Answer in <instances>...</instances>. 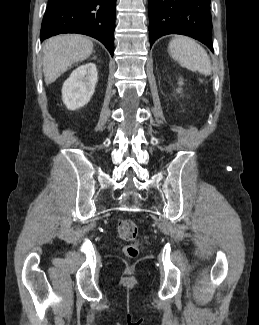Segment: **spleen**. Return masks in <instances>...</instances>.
<instances>
[{
	"mask_svg": "<svg viewBox=\"0 0 259 325\" xmlns=\"http://www.w3.org/2000/svg\"><path fill=\"white\" fill-rule=\"evenodd\" d=\"M168 49L170 56L182 67L204 75L211 74V61L207 52L193 39L183 36L173 38Z\"/></svg>",
	"mask_w": 259,
	"mask_h": 325,
	"instance_id": "1",
	"label": "spleen"
}]
</instances>
